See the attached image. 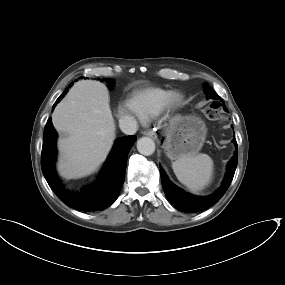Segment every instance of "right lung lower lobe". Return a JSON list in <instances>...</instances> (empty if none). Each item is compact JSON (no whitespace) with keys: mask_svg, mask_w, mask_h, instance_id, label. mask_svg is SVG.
Returning <instances> with one entry per match:
<instances>
[{"mask_svg":"<svg viewBox=\"0 0 285 285\" xmlns=\"http://www.w3.org/2000/svg\"><path fill=\"white\" fill-rule=\"evenodd\" d=\"M72 83L69 85V87ZM68 88L57 99L54 107L67 93ZM57 132L51 118L47 121L43 135L41 156L42 172L53 192L68 206L84 212L102 211L117 199L125 179L128 153L136 136H126L115 141L113 149L97 180L80 192H69L60 183L55 171Z\"/></svg>","mask_w":285,"mask_h":285,"instance_id":"right-lung-lower-lobe-1","label":"right lung lower lobe"}]
</instances>
